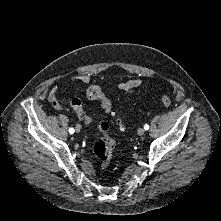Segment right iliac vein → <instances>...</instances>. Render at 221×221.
Listing matches in <instances>:
<instances>
[{"mask_svg": "<svg viewBox=\"0 0 221 221\" xmlns=\"http://www.w3.org/2000/svg\"><path fill=\"white\" fill-rule=\"evenodd\" d=\"M75 130H76L77 132H80V130H81L80 125H76V126H75Z\"/></svg>", "mask_w": 221, "mask_h": 221, "instance_id": "obj_1", "label": "right iliac vein"}]
</instances>
